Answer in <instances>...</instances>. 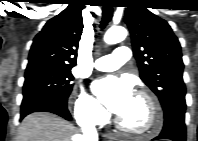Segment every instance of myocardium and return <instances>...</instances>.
<instances>
[{
  "instance_id": "obj_1",
  "label": "myocardium",
  "mask_w": 198,
  "mask_h": 141,
  "mask_svg": "<svg viewBox=\"0 0 198 141\" xmlns=\"http://www.w3.org/2000/svg\"><path fill=\"white\" fill-rule=\"evenodd\" d=\"M136 97L144 100L148 106L149 120H150L149 127L144 130H137V129L130 128L122 122L120 117L116 118L117 126L123 132L133 135V136L141 137V136L154 135L155 133L158 132V130L161 126V114H160V109H159L158 103L153 98V96H151L150 94H148L145 91H138L136 93Z\"/></svg>"
}]
</instances>
